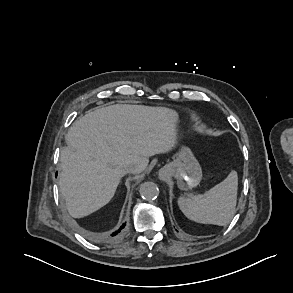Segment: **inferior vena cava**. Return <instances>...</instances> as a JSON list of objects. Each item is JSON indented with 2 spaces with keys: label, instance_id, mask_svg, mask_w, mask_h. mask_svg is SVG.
I'll return each mask as SVG.
<instances>
[{
  "label": "inferior vena cava",
  "instance_id": "inferior-vena-cava-1",
  "mask_svg": "<svg viewBox=\"0 0 293 293\" xmlns=\"http://www.w3.org/2000/svg\"><path fill=\"white\" fill-rule=\"evenodd\" d=\"M139 170L138 167H135V166H130L128 169H127V172L129 173H135Z\"/></svg>",
  "mask_w": 293,
  "mask_h": 293
}]
</instances>
